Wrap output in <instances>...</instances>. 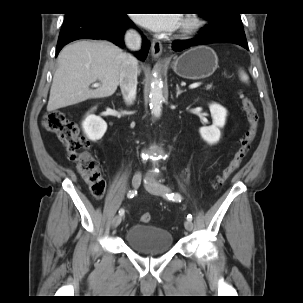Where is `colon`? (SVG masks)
Wrapping results in <instances>:
<instances>
[{
	"mask_svg": "<svg viewBox=\"0 0 303 303\" xmlns=\"http://www.w3.org/2000/svg\"><path fill=\"white\" fill-rule=\"evenodd\" d=\"M238 95L246 113L248 129L240 140L232 158L222 169L218 177L219 183L225 182L240 167L257 136L258 111L250 97L243 90H239ZM43 126L48 132L56 134L59 141L65 145L69 158L76 163L77 171L89 184L93 197L97 200L101 199L105 191V182L99 171V163L89 151L88 142L79 136L76 124L69 121L61 111H52L44 116ZM139 220L148 223L151 220L150 213H141Z\"/></svg>",
	"mask_w": 303,
	"mask_h": 303,
	"instance_id": "1",
	"label": "colon"
}]
</instances>
